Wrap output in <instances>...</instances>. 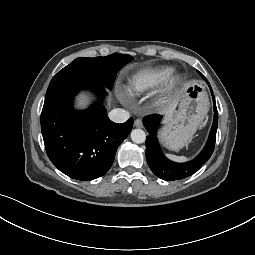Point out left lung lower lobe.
Listing matches in <instances>:
<instances>
[{
    "label": "left lung lower lobe",
    "instance_id": "obj_1",
    "mask_svg": "<svg viewBox=\"0 0 255 255\" xmlns=\"http://www.w3.org/2000/svg\"><path fill=\"white\" fill-rule=\"evenodd\" d=\"M206 80V78H204ZM208 83L213 102H214V121L211 128L208 141L201 151V153L193 160L186 163H176L167 159L160 149L157 140V127L160 122L161 116L151 115L143 119L145 128L149 132V136L146 138V159L152 172L159 178L166 181L184 179L193 173H195L204 163L211 157L216 140V131L218 126V112L216 108L215 98L212 88Z\"/></svg>",
    "mask_w": 255,
    "mask_h": 255
}]
</instances>
